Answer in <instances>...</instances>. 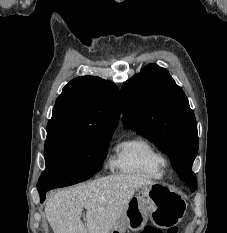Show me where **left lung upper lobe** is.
I'll list each match as a JSON object with an SVG mask.
<instances>
[{"instance_id":"obj_1","label":"left lung upper lobe","mask_w":227,"mask_h":233,"mask_svg":"<svg viewBox=\"0 0 227 233\" xmlns=\"http://www.w3.org/2000/svg\"><path fill=\"white\" fill-rule=\"evenodd\" d=\"M121 110L124 128L137 130L166 153L180 178L194 191L197 123L186 95L168 71L151 64L124 82Z\"/></svg>"}]
</instances>
